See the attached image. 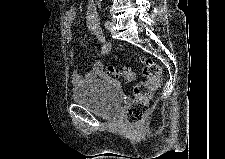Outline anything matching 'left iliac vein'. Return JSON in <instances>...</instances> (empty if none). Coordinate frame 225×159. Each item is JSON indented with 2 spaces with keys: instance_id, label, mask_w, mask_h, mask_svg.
Instances as JSON below:
<instances>
[{
  "instance_id": "left-iliac-vein-1",
  "label": "left iliac vein",
  "mask_w": 225,
  "mask_h": 159,
  "mask_svg": "<svg viewBox=\"0 0 225 159\" xmlns=\"http://www.w3.org/2000/svg\"><path fill=\"white\" fill-rule=\"evenodd\" d=\"M115 22H116L115 20H110L109 21V24L106 26V28L108 30L112 29V27L114 26Z\"/></svg>"
}]
</instances>
